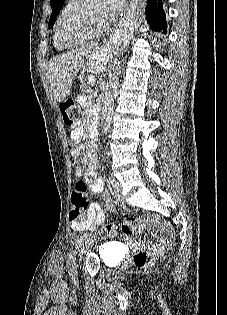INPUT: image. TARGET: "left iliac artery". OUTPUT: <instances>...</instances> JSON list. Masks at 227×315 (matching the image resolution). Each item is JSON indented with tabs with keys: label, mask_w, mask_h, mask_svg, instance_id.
I'll return each instance as SVG.
<instances>
[{
	"label": "left iliac artery",
	"mask_w": 227,
	"mask_h": 315,
	"mask_svg": "<svg viewBox=\"0 0 227 315\" xmlns=\"http://www.w3.org/2000/svg\"><path fill=\"white\" fill-rule=\"evenodd\" d=\"M109 183L110 185L113 187L114 184H115V179L114 178H110L109 179ZM89 236V234L85 233L84 235H82L76 242V245H75V249H78L82 243L87 239V237Z\"/></svg>",
	"instance_id": "1"
}]
</instances>
